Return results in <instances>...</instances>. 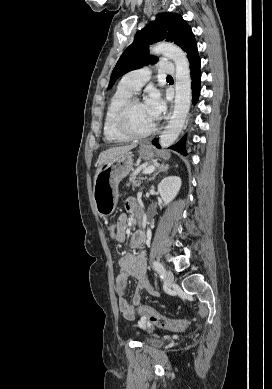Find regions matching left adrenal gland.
I'll return each mask as SVG.
<instances>
[{
  "label": "left adrenal gland",
  "mask_w": 272,
  "mask_h": 389,
  "mask_svg": "<svg viewBox=\"0 0 272 389\" xmlns=\"http://www.w3.org/2000/svg\"><path fill=\"white\" fill-rule=\"evenodd\" d=\"M168 169H169V165H168V164L162 163V164L158 167V170L154 173V175H153L151 178H149L148 181H151V180L155 179V177H156L159 173H161V172H167Z\"/></svg>",
  "instance_id": "1"
}]
</instances>
